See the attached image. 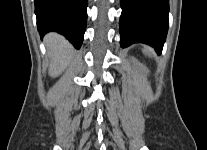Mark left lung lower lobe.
Segmentation results:
<instances>
[{"instance_id":"obj_1","label":"left lung lower lobe","mask_w":207,"mask_h":150,"mask_svg":"<svg viewBox=\"0 0 207 150\" xmlns=\"http://www.w3.org/2000/svg\"><path fill=\"white\" fill-rule=\"evenodd\" d=\"M122 47L146 43L161 53L168 31L169 0H120Z\"/></svg>"}]
</instances>
